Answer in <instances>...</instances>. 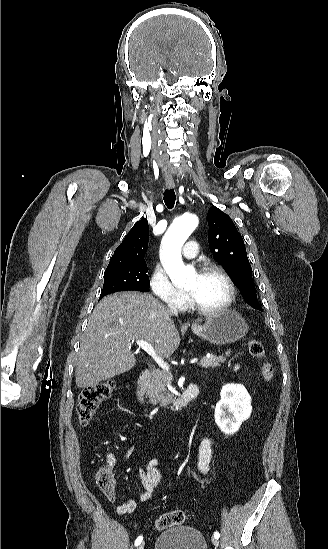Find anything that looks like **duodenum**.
<instances>
[{
	"label": "duodenum",
	"instance_id": "410a0bca",
	"mask_svg": "<svg viewBox=\"0 0 328 549\" xmlns=\"http://www.w3.org/2000/svg\"><path fill=\"white\" fill-rule=\"evenodd\" d=\"M149 378L150 371L143 370L140 373L137 382V397L139 401L144 405L147 404L146 389L148 386ZM199 392L200 389L197 384H190L177 400L165 407V410L170 412H178L182 410L199 394Z\"/></svg>",
	"mask_w": 328,
	"mask_h": 549
}]
</instances>
